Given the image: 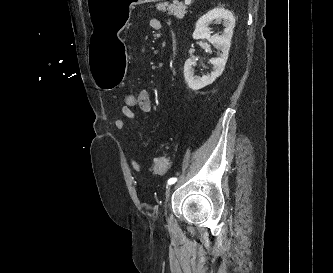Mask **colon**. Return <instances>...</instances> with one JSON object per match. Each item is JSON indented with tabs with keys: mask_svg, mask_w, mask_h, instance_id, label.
Returning <instances> with one entry per match:
<instances>
[{
	"mask_svg": "<svg viewBox=\"0 0 333 273\" xmlns=\"http://www.w3.org/2000/svg\"><path fill=\"white\" fill-rule=\"evenodd\" d=\"M138 104V94L129 93L124 97V106L132 109L137 107ZM169 168V159L166 156L157 157L152 165V172L157 175H162L166 173Z\"/></svg>",
	"mask_w": 333,
	"mask_h": 273,
	"instance_id": "obj_1",
	"label": "colon"
}]
</instances>
